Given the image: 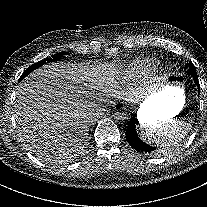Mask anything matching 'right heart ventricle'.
Instances as JSON below:
<instances>
[{"instance_id": "e07e8e85", "label": "right heart ventricle", "mask_w": 207, "mask_h": 207, "mask_svg": "<svg viewBox=\"0 0 207 207\" xmlns=\"http://www.w3.org/2000/svg\"><path fill=\"white\" fill-rule=\"evenodd\" d=\"M153 62L151 61H145L144 63H142V66H141V71L142 72H147L148 70L151 69V66H152Z\"/></svg>"}]
</instances>
